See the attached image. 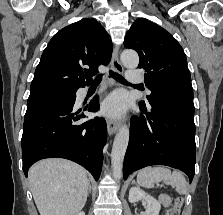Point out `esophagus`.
<instances>
[{
	"instance_id": "obj_1",
	"label": "esophagus",
	"mask_w": 223,
	"mask_h": 215,
	"mask_svg": "<svg viewBox=\"0 0 223 215\" xmlns=\"http://www.w3.org/2000/svg\"><path fill=\"white\" fill-rule=\"evenodd\" d=\"M111 65L113 70H115L118 73H123L124 68L122 64L119 62L117 46H115L113 50ZM106 122L110 135L114 134L120 128V123L117 122L116 120H113L112 118H107Z\"/></svg>"
}]
</instances>
